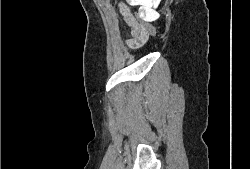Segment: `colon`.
I'll use <instances>...</instances> for the list:
<instances>
[{
    "label": "colon",
    "mask_w": 250,
    "mask_h": 169,
    "mask_svg": "<svg viewBox=\"0 0 250 169\" xmlns=\"http://www.w3.org/2000/svg\"><path fill=\"white\" fill-rule=\"evenodd\" d=\"M123 11L128 13V10L123 7ZM137 19L140 21V25H143L144 27H141L140 30V36L137 39L138 43L144 42L149 36H155V26H153L152 23H150L149 20H143L142 14H137Z\"/></svg>",
    "instance_id": "1"
}]
</instances>
